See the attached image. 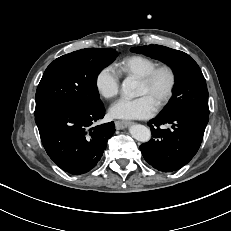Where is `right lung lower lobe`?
<instances>
[{
  "label": "right lung lower lobe",
  "mask_w": 231,
  "mask_h": 231,
  "mask_svg": "<svg viewBox=\"0 0 231 231\" xmlns=\"http://www.w3.org/2000/svg\"><path fill=\"white\" fill-rule=\"evenodd\" d=\"M105 115L103 105L86 110L57 108L35 116L43 146L62 170L80 175L96 166L115 132L114 122L93 127Z\"/></svg>",
  "instance_id": "right-lung-lower-lobe-1"
}]
</instances>
